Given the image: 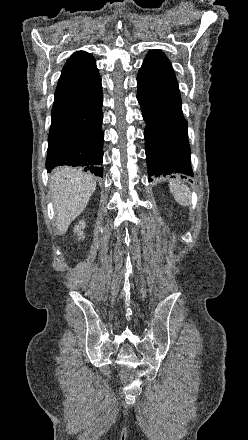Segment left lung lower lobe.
Here are the masks:
<instances>
[{
	"label": "left lung lower lobe",
	"mask_w": 248,
	"mask_h": 440,
	"mask_svg": "<svg viewBox=\"0 0 248 440\" xmlns=\"http://www.w3.org/2000/svg\"><path fill=\"white\" fill-rule=\"evenodd\" d=\"M137 87L138 102L147 124L144 136L149 176L174 177L175 173H181L193 177L180 93L150 83L139 75Z\"/></svg>",
	"instance_id": "left-lung-lower-lobe-1"
}]
</instances>
